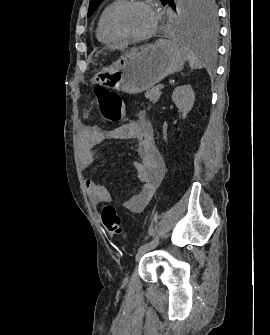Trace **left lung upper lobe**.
<instances>
[{
  "instance_id": "1",
  "label": "left lung upper lobe",
  "mask_w": 270,
  "mask_h": 335,
  "mask_svg": "<svg viewBox=\"0 0 270 335\" xmlns=\"http://www.w3.org/2000/svg\"><path fill=\"white\" fill-rule=\"evenodd\" d=\"M163 5L170 4L175 10L173 0H161ZM103 0H90L88 17L91 16ZM179 17L191 30L213 33L216 30V8L213 0H181Z\"/></svg>"
}]
</instances>
